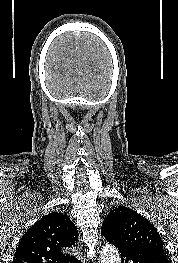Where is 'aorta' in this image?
Returning <instances> with one entry per match:
<instances>
[{
	"label": "aorta",
	"instance_id": "1",
	"mask_svg": "<svg viewBox=\"0 0 178 263\" xmlns=\"http://www.w3.org/2000/svg\"><path fill=\"white\" fill-rule=\"evenodd\" d=\"M99 263H120L119 251L111 244H106L99 257Z\"/></svg>",
	"mask_w": 178,
	"mask_h": 263
}]
</instances>
